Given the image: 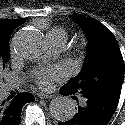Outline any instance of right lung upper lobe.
<instances>
[{
    "label": "right lung upper lobe",
    "mask_w": 125,
    "mask_h": 125,
    "mask_svg": "<svg viewBox=\"0 0 125 125\" xmlns=\"http://www.w3.org/2000/svg\"><path fill=\"white\" fill-rule=\"evenodd\" d=\"M26 21L25 18L18 20L0 19V34H12V32Z\"/></svg>",
    "instance_id": "cb5924a9"
}]
</instances>
